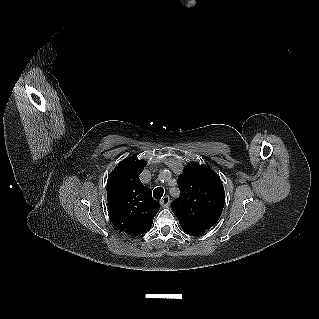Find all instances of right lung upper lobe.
<instances>
[{
  "instance_id": "obj_1",
  "label": "right lung upper lobe",
  "mask_w": 319,
  "mask_h": 319,
  "mask_svg": "<svg viewBox=\"0 0 319 319\" xmlns=\"http://www.w3.org/2000/svg\"><path fill=\"white\" fill-rule=\"evenodd\" d=\"M146 162L130 157L121 161L107 181L108 210L112 222L121 232L138 236L150 230L159 203L143 186L139 175Z\"/></svg>"
}]
</instances>
